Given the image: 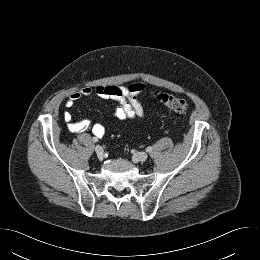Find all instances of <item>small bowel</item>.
Returning a JSON list of instances; mask_svg holds the SVG:
<instances>
[{"mask_svg": "<svg viewBox=\"0 0 260 260\" xmlns=\"http://www.w3.org/2000/svg\"><path fill=\"white\" fill-rule=\"evenodd\" d=\"M146 88L144 83H133L129 85L114 84L106 86H96L95 88L83 87L74 91L65 101V106L70 109L82 97L96 95L102 99L113 100L118 106L113 110V116L119 120L133 119L144 117L145 110L138 95ZM64 121L72 133H83L92 130L95 138H102L106 134V128L100 124H92L89 120L74 122L72 114L69 111L63 113Z\"/></svg>", "mask_w": 260, "mask_h": 260, "instance_id": "c3829d8e", "label": "small bowel"}]
</instances>
